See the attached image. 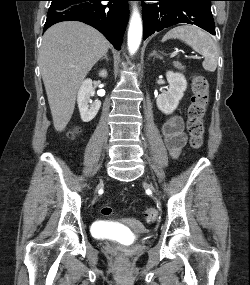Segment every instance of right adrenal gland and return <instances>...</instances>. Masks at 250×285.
I'll return each instance as SVG.
<instances>
[{"label":"right adrenal gland","mask_w":250,"mask_h":285,"mask_svg":"<svg viewBox=\"0 0 250 285\" xmlns=\"http://www.w3.org/2000/svg\"><path fill=\"white\" fill-rule=\"evenodd\" d=\"M103 59H106L107 61L109 60L107 55H105L104 57L101 58V60H103Z\"/></svg>","instance_id":"obj_1"}]
</instances>
